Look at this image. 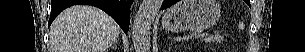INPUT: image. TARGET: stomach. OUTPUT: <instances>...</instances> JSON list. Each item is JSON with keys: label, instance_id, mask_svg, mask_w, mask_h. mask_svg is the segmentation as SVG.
Segmentation results:
<instances>
[{"label": "stomach", "instance_id": "stomach-1", "mask_svg": "<svg viewBox=\"0 0 305 52\" xmlns=\"http://www.w3.org/2000/svg\"><path fill=\"white\" fill-rule=\"evenodd\" d=\"M219 17L216 0H181L165 12L162 26L175 33L205 30L215 25Z\"/></svg>", "mask_w": 305, "mask_h": 52}]
</instances>
